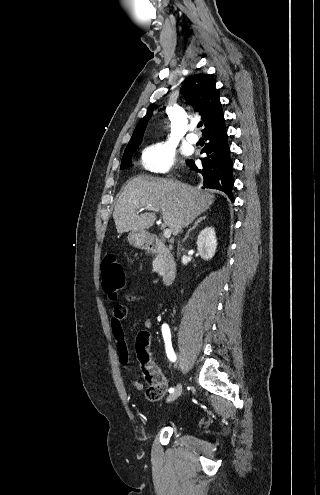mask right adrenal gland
<instances>
[{
	"instance_id": "2a0ac1e0",
	"label": "right adrenal gland",
	"mask_w": 320,
	"mask_h": 495,
	"mask_svg": "<svg viewBox=\"0 0 320 495\" xmlns=\"http://www.w3.org/2000/svg\"><path fill=\"white\" fill-rule=\"evenodd\" d=\"M205 219H206V216H205V215H204L203 217L198 218V219L194 222L193 226H192V227L188 230V232L186 233V236L184 237V239H183V241H182V242H185V241L187 240V238L189 237V233H190L191 231H193L194 229H196V227L199 225V223H201V221H203V220H205Z\"/></svg>"
}]
</instances>
